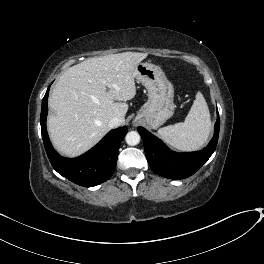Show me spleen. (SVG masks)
<instances>
[{"label": "spleen", "instance_id": "obj_1", "mask_svg": "<svg viewBox=\"0 0 264 264\" xmlns=\"http://www.w3.org/2000/svg\"><path fill=\"white\" fill-rule=\"evenodd\" d=\"M211 132V118L206 100L201 92L185 118L158 130L159 136L174 148L182 151H193L203 147Z\"/></svg>", "mask_w": 264, "mask_h": 264}]
</instances>
